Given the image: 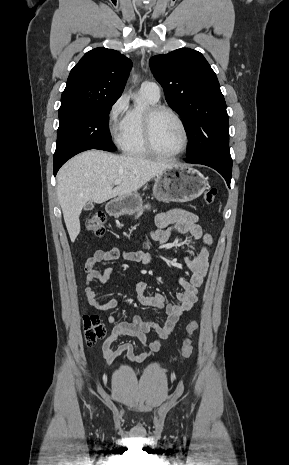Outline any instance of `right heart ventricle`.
<instances>
[{"mask_svg":"<svg viewBox=\"0 0 289 465\" xmlns=\"http://www.w3.org/2000/svg\"><path fill=\"white\" fill-rule=\"evenodd\" d=\"M141 94L148 106L156 104L158 100H154L145 92ZM145 108L134 106L126 113L124 131L118 140L121 150L130 156L146 157L151 153L148 151L143 135V117Z\"/></svg>","mask_w":289,"mask_h":465,"instance_id":"e07e8e85","label":"right heart ventricle"}]
</instances>
